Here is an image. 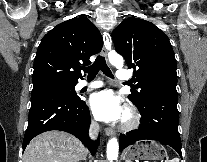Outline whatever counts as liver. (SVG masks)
<instances>
[{
  "mask_svg": "<svg viewBox=\"0 0 207 162\" xmlns=\"http://www.w3.org/2000/svg\"><path fill=\"white\" fill-rule=\"evenodd\" d=\"M88 151L73 135L63 131H47L30 141L23 162H79Z\"/></svg>",
  "mask_w": 207,
  "mask_h": 162,
  "instance_id": "1",
  "label": "liver"
}]
</instances>
